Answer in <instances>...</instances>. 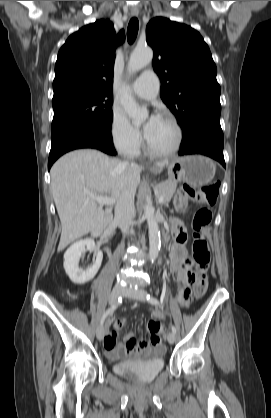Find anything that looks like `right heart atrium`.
<instances>
[{
  "instance_id": "obj_1",
  "label": "right heart atrium",
  "mask_w": 271,
  "mask_h": 418,
  "mask_svg": "<svg viewBox=\"0 0 271 418\" xmlns=\"http://www.w3.org/2000/svg\"><path fill=\"white\" fill-rule=\"evenodd\" d=\"M110 136L114 147L123 155H133L142 144L140 131L127 119L125 113L114 108L110 120Z\"/></svg>"
}]
</instances>
